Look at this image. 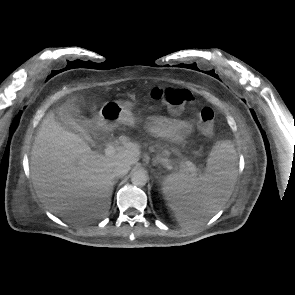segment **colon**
Segmentation results:
<instances>
[{"instance_id":"obj_1","label":"colon","mask_w":295,"mask_h":295,"mask_svg":"<svg viewBox=\"0 0 295 295\" xmlns=\"http://www.w3.org/2000/svg\"><path fill=\"white\" fill-rule=\"evenodd\" d=\"M149 97L167 106L172 112L179 113L186 105L194 101L189 90L154 87ZM215 114L212 109L204 108L199 114L198 128L203 135L210 136L214 132Z\"/></svg>"}]
</instances>
